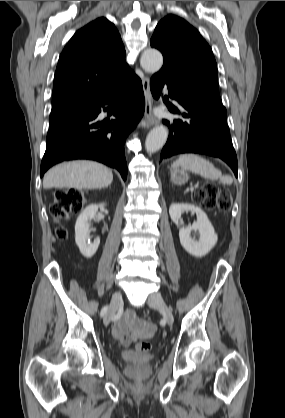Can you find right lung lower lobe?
Returning a JSON list of instances; mask_svg holds the SVG:
<instances>
[{
    "label": "right lung lower lobe",
    "mask_w": 285,
    "mask_h": 418,
    "mask_svg": "<svg viewBox=\"0 0 285 418\" xmlns=\"http://www.w3.org/2000/svg\"><path fill=\"white\" fill-rule=\"evenodd\" d=\"M104 106H107L104 111L113 113L116 120L105 124L97 121ZM144 108L142 82L133 73L129 83L120 90L92 102L86 111L50 125L40 176L59 162L90 159L117 169L126 180L124 144L128 134L140 121Z\"/></svg>",
    "instance_id": "98d812e1"
}]
</instances>
